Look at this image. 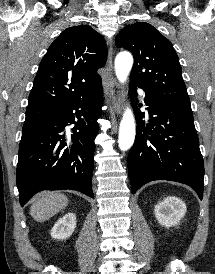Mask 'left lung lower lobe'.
<instances>
[{
	"instance_id": "0a47b994",
	"label": "left lung lower lobe",
	"mask_w": 215,
	"mask_h": 274,
	"mask_svg": "<svg viewBox=\"0 0 215 274\" xmlns=\"http://www.w3.org/2000/svg\"><path fill=\"white\" fill-rule=\"evenodd\" d=\"M136 84L129 93L134 107L137 135L128 155L131 190L154 180L189 185L203 197L204 163L191 108L176 105L145 90L149 120L138 109ZM140 107V105H139Z\"/></svg>"
}]
</instances>
